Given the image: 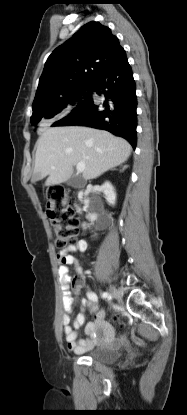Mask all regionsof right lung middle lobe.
Listing matches in <instances>:
<instances>
[{"mask_svg":"<svg viewBox=\"0 0 187 415\" xmlns=\"http://www.w3.org/2000/svg\"><path fill=\"white\" fill-rule=\"evenodd\" d=\"M91 91L92 83L71 90L61 100L55 103L33 108V114L31 116L32 125H36L46 118H53L66 108L77 106L91 94Z\"/></svg>","mask_w":187,"mask_h":415,"instance_id":"obj_1","label":"right lung middle lobe"}]
</instances>
